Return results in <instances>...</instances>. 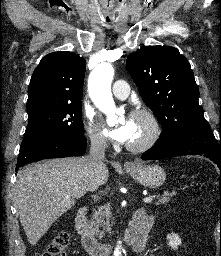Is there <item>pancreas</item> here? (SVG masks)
<instances>
[{
    "label": "pancreas",
    "mask_w": 221,
    "mask_h": 256,
    "mask_svg": "<svg viewBox=\"0 0 221 256\" xmlns=\"http://www.w3.org/2000/svg\"><path fill=\"white\" fill-rule=\"evenodd\" d=\"M175 192H165L161 197L157 196L158 201L155 202L156 205L165 204L169 201L170 197L174 196ZM112 217L111 207L109 204L100 207L98 211H93V215L90 219V227L95 233H100V235H104V230H111L110 219ZM102 228V231L99 230Z\"/></svg>",
    "instance_id": "obj_1"
}]
</instances>
